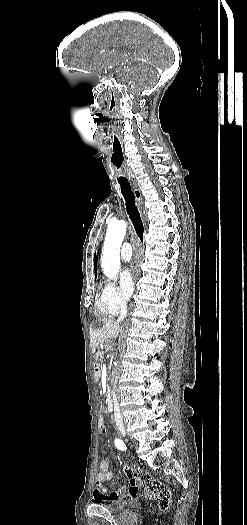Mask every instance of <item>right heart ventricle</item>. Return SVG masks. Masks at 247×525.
I'll use <instances>...</instances> for the list:
<instances>
[{"instance_id": "right-heart-ventricle-1", "label": "right heart ventricle", "mask_w": 247, "mask_h": 525, "mask_svg": "<svg viewBox=\"0 0 247 525\" xmlns=\"http://www.w3.org/2000/svg\"><path fill=\"white\" fill-rule=\"evenodd\" d=\"M118 312H114L105 307L101 301H98L95 305V316L96 317H115Z\"/></svg>"}]
</instances>
